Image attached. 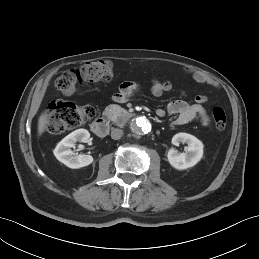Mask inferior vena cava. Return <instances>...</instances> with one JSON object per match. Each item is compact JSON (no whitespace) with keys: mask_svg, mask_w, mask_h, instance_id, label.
<instances>
[{"mask_svg":"<svg viewBox=\"0 0 259 259\" xmlns=\"http://www.w3.org/2000/svg\"><path fill=\"white\" fill-rule=\"evenodd\" d=\"M123 136V131L121 129H112L111 131V138L114 140H118Z\"/></svg>","mask_w":259,"mask_h":259,"instance_id":"inferior-vena-cava-1","label":"inferior vena cava"}]
</instances>
